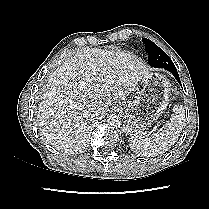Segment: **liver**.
Returning <instances> with one entry per match:
<instances>
[{"label":"liver","instance_id":"1","mask_svg":"<svg viewBox=\"0 0 209 209\" xmlns=\"http://www.w3.org/2000/svg\"><path fill=\"white\" fill-rule=\"evenodd\" d=\"M150 73L134 56L87 49L50 76L38 105L41 132L57 150L77 154L89 143L90 124L114 100L125 99Z\"/></svg>","mask_w":209,"mask_h":209}]
</instances>
